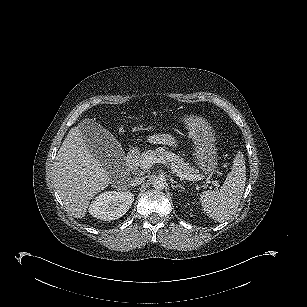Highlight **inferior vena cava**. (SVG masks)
Wrapping results in <instances>:
<instances>
[{
  "label": "inferior vena cava",
  "mask_w": 307,
  "mask_h": 307,
  "mask_svg": "<svg viewBox=\"0 0 307 307\" xmlns=\"http://www.w3.org/2000/svg\"><path fill=\"white\" fill-rule=\"evenodd\" d=\"M144 182V177L136 176L131 181V186H138Z\"/></svg>",
  "instance_id": "1"
}]
</instances>
